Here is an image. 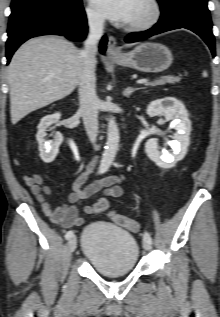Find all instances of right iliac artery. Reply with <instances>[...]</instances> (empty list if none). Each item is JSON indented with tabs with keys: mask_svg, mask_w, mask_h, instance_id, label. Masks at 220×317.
<instances>
[{
	"mask_svg": "<svg viewBox=\"0 0 220 317\" xmlns=\"http://www.w3.org/2000/svg\"><path fill=\"white\" fill-rule=\"evenodd\" d=\"M74 236V232L72 230L68 231L66 234H65V238L66 239H70Z\"/></svg>",
	"mask_w": 220,
	"mask_h": 317,
	"instance_id": "82829eb1",
	"label": "right iliac artery"
}]
</instances>
